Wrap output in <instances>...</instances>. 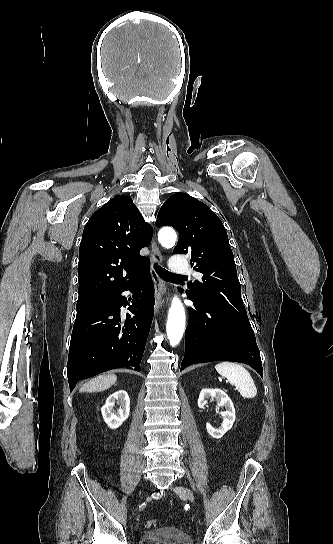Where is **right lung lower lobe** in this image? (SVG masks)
<instances>
[{"mask_svg":"<svg viewBox=\"0 0 333 544\" xmlns=\"http://www.w3.org/2000/svg\"><path fill=\"white\" fill-rule=\"evenodd\" d=\"M133 294L130 314L120 317L122 305H129L121 293ZM154 292L149 271L114 294L111 302L94 313L76 319L72 331L67 376L70 391L77 382L116 368L140 371V362L149 334Z\"/></svg>","mask_w":333,"mask_h":544,"instance_id":"obj_1","label":"right lung lower lobe"}]
</instances>
